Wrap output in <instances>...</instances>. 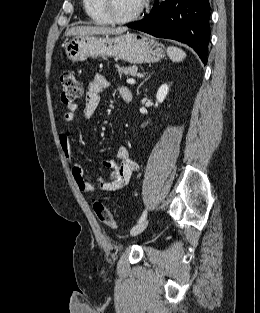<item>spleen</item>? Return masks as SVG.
<instances>
[{"instance_id":"spleen-1","label":"spleen","mask_w":260,"mask_h":313,"mask_svg":"<svg viewBox=\"0 0 260 313\" xmlns=\"http://www.w3.org/2000/svg\"><path fill=\"white\" fill-rule=\"evenodd\" d=\"M167 54L173 62H181L186 57V53L182 49L174 46L167 48Z\"/></svg>"}]
</instances>
